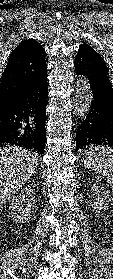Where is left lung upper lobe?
<instances>
[{
	"label": "left lung upper lobe",
	"mask_w": 113,
	"mask_h": 279,
	"mask_svg": "<svg viewBox=\"0 0 113 279\" xmlns=\"http://www.w3.org/2000/svg\"><path fill=\"white\" fill-rule=\"evenodd\" d=\"M78 51H83L91 56H94L100 60H102L104 62V59L99 55V53H97L89 44L84 43L83 45H81L79 47Z\"/></svg>",
	"instance_id": "left-lung-upper-lobe-1"
}]
</instances>
